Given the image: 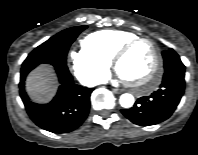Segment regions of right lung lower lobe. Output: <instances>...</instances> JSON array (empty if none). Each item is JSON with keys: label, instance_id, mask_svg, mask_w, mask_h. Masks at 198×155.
Instances as JSON below:
<instances>
[{"label": "right lung lower lobe", "instance_id": "1", "mask_svg": "<svg viewBox=\"0 0 198 155\" xmlns=\"http://www.w3.org/2000/svg\"><path fill=\"white\" fill-rule=\"evenodd\" d=\"M41 63L52 65L60 82L57 95L48 104L32 102L24 89L27 74ZM19 88L28 115L36 125L47 131L53 133L71 132L84 122L89 113L90 94L93 89L74 84L66 62L41 59L23 63Z\"/></svg>", "mask_w": 198, "mask_h": 155}]
</instances>
